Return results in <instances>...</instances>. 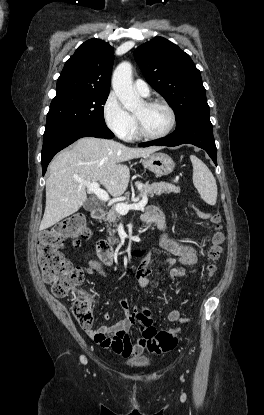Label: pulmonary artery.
Listing matches in <instances>:
<instances>
[{
  "instance_id": "e3ab8cb5",
  "label": "pulmonary artery",
  "mask_w": 264,
  "mask_h": 415,
  "mask_svg": "<svg viewBox=\"0 0 264 415\" xmlns=\"http://www.w3.org/2000/svg\"><path fill=\"white\" fill-rule=\"evenodd\" d=\"M134 88L140 95L145 96V97L148 96L150 93L148 84L141 79H136L134 81Z\"/></svg>"
}]
</instances>
